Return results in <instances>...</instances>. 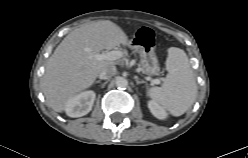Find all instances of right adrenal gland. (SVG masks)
I'll return each mask as SVG.
<instances>
[{
  "label": "right adrenal gland",
  "mask_w": 248,
  "mask_h": 158,
  "mask_svg": "<svg viewBox=\"0 0 248 158\" xmlns=\"http://www.w3.org/2000/svg\"><path fill=\"white\" fill-rule=\"evenodd\" d=\"M95 83H101V81L100 80H97Z\"/></svg>",
  "instance_id": "right-adrenal-gland-1"
}]
</instances>
